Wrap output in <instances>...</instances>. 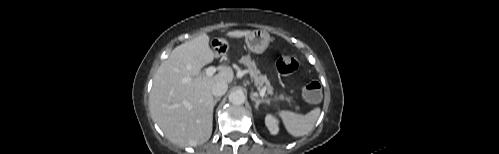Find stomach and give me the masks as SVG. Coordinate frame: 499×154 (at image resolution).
Wrapping results in <instances>:
<instances>
[{"label": "stomach", "instance_id": "0dacf381", "mask_svg": "<svg viewBox=\"0 0 499 154\" xmlns=\"http://www.w3.org/2000/svg\"><path fill=\"white\" fill-rule=\"evenodd\" d=\"M222 44H226L225 40H219ZM245 42L250 51L257 54H262L266 51L270 43V36L268 32L264 30H254L251 31L249 35L245 37Z\"/></svg>", "mask_w": 499, "mask_h": 154}]
</instances>
